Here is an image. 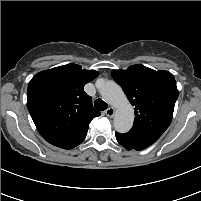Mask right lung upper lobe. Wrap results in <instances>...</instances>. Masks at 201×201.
Returning <instances> with one entry per match:
<instances>
[{"mask_svg":"<svg viewBox=\"0 0 201 201\" xmlns=\"http://www.w3.org/2000/svg\"><path fill=\"white\" fill-rule=\"evenodd\" d=\"M98 74L71 63L39 72L31 79L28 110L47 142L57 146L86 137L89 123L100 113L83 88Z\"/></svg>","mask_w":201,"mask_h":201,"instance_id":"1","label":"right lung upper lobe"}]
</instances>
